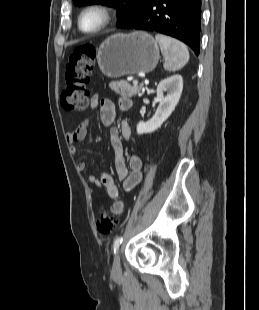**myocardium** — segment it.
I'll return each instance as SVG.
<instances>
[{
    "label": "myocardium",
    "mask_w": 259,
    "mask_h": 310,
    "mask_svg": "<svg viewBox=\"0 0 259 310\" xmlns=\"http://www.w3.org/2000/svg\"><path fill=\"white\" fill-rule=\"evenodd\" d=\"M93 11L101 14L102 21L97 27L87 30L83 27V18L87 13ZM112 19H113V11L108 5L102 3H93L81 10L78 16L77 23L78 28L80 29L81 32L85 34H96L106 29L112 22Z\"/></svg>",
    "instance_id": "obj_1"
}]
</instances>
